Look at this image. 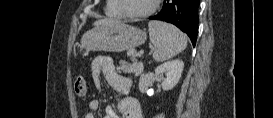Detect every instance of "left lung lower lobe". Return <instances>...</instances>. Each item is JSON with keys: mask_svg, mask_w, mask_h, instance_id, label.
Wrapping results in <instances>:
<instances>
[{"mask_svg": "<svg viewBox=\"0 0 273 118\" xmlns=\"http://www.w3.org/2000/svg\"><path fill=\"white\" fill-rule=\"evenodd\" d=\"M200 0H164L162 10L150 20L172 23L184 31L195 46L198 34Z\"/></svg>", "mask_w": 273, "mask_h": 118, "instance_id": "0a47b994", "label": "left lung lower lobe"}]
</instances>
